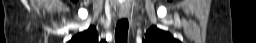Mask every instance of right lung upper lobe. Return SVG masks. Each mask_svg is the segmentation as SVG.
<instances>
[{
  "label": "right lung upper lobe",
  "mask_w": 256,
  "mask_h": 43,
  "mask_svg": "<svg viewBox=\"0 0 256 43\" xmlns=\"http://www.w3.org/2000/svg\"><path fill=\"white\" fill-rule=\"evenodd\" d=\"M69 43H98V33L95 27L90 26L88 30L74 36Z\"/></svg>",
  "instance_id": "right-lung-upper-lobe-1"
}]
</instances>
